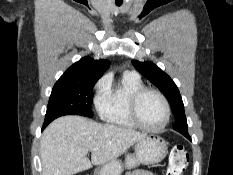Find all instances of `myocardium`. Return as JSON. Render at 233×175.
Masks as SVG:
<instances>
[{"label": "myocardium", "instance_id": "myocardium-1", "mask_svg": "<svg viewBox=\"0 0 233 175\" xmlns=\"http://www.w3.org/2000/svg\"><path fill=\"white\" fill-rule=\"evenodd\" d=\"M146 93L156 94L162 101L164 109H165V119L163 123L160 126L155 127V128L145 125L139 117V112H138L139 102L142 96L145 95ZM129 114L133 122L141 129L145 131H149V132H159L163 130L169 123L170 116H171V110H170V105H169V102L166 96L161 91L155 88L143 86L132 93L130 100H129Z\"/></svg>", "mask_w": 233, "mask_h": 175}]
</instances>
